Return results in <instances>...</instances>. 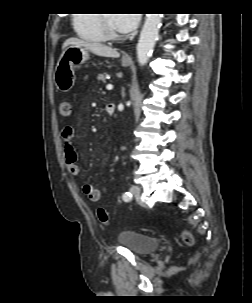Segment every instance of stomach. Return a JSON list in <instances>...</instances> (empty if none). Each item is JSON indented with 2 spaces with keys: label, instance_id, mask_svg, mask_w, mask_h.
<instances>
[{
  "label": "stomach",
  "instance_id": "0dacf381",
  "mask_svg": "<svg viewBox=\"0 0 252 303\" xmlns=\"http://www.w3.org/2000/svg\"><path fill=\"white\" fill-rule=\"evenodd\" d=\"M90 55L86 48L79 45H70L62 52L55 67L54 82L58 90L68 92L75 84L76 67L85 63ZM130 62L122 60L124 67L129 66Z\"/></svg>",
  "mask_w": 252,
  "mask_h": 303
}]
</instances>
